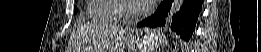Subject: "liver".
I'll use <instances>...</instances> for the list:
<instances>
[{"label": "liver", "instance_id": "1", "mask_svg": "<svg viewBox=\"0 0 261 52\" xmlns=\"http://www.w3.org/2000/svg\"><path fill=\"white\" fill-rule=\"evenodd\" d=\"M94 31L99 33V38H101V43H99L98 50L119 47L123 44L125 38L126 29L119 28L113 25H100L94 26Z\"/></svg>", "mask_w": 261, "mask_h": 52}]
</instances>
